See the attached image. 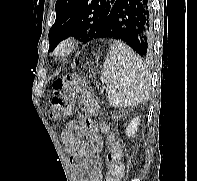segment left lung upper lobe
Segmentation results:
<instances>
[{"label": "left lung upper lobe", "instance_id": "5c2ea615", "mask_svg": "<svg viewBox=\"0 0 197 181\" xmlns=\"http://www.w3.org/2000/svg\"><path fill=\"white\" fill-rule=\"evenodd\" d=\"M116 0H57L56 20L49 30L50 51L69 36L88 42L98 38Z\"/></svg>", "mask_w": 197, "mask_h": 181}]
</instances>
